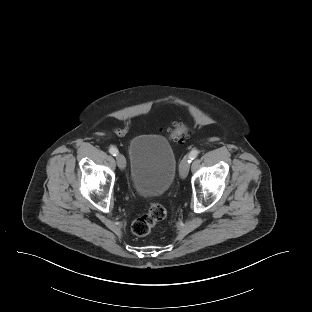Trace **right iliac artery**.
<instances>
[{
    "label": "right iliac artery",
    "mask_w": 312,
    "mask_h": 312,
    "mask_svg": "<svg viewBox=\"0 0 312 312\" xmlns=\"http://www.w3.org/2000/svg\"><path fill=\"white\" fill-rule=\"evenodd\" d=\"M109 152L113 155L116 156L118 154V150L115 147H110Z\"/></svg>",
    "instance_id": "1"
}]
</instances>
